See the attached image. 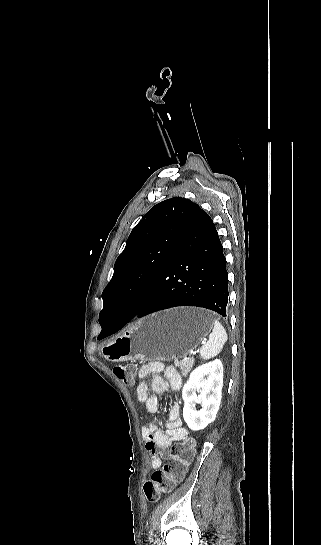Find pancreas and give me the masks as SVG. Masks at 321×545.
<instances>
[{
  "mask_svg": "<svg viewBox=\"0 0 321 545\" xmlns=\"http://www.w3.org/2000/svg\"><path fill=\"white\" fill-rule=\"evenodd\" d=\"M175 367H180V373L182 377L189 375L193 365H195V359H184V361H174Z\"/></svg>",
  "mask_w": 321,
  "mask_h": 545,
  "instance_id": "1",
  "label": "pancreas"
}]
</instances>
